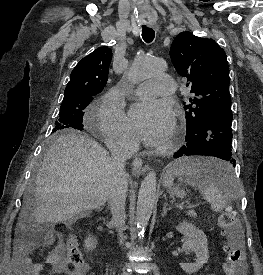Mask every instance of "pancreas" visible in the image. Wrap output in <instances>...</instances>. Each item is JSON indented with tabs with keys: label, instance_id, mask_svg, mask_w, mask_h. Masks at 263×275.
<instances>
[{
	"label": "pancreas",
	"instance_id": "1",
	"mask_svg": "<svg viewBox=\"0 0 263 275\" xmlns=\"http://www.w3.org/2000/svg\"><path fill=\"white\" fill-rule=\"evenodd\" d=\"M190 217H193V218H196L197 217V214L194 210H189L188 213H187Z\"/></svg>",
	"mask_w": 263,
	"mask_h": 275
}]
</instances>
